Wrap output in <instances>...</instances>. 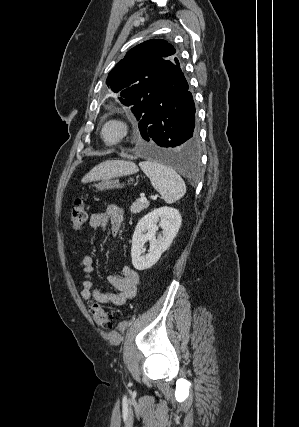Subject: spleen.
Returning a JSON list of instances; mask_svg holds the SVG:
<instances>
[{"label":"spleen","instance_id":"obj_1","mask_svg":"<svg viewBox=\"0 0 299 427\" xmlns=\"http://www.w3.org/2000/svg\"><path fill=\"white\" fill-rule=\"evenodd\" d=\"M139 166L165 202L173 203L186 193L185 182L172 168L151 160L141 162Z\"/></svg>","mask_w":299,"mask_h":427}]
</instances>
